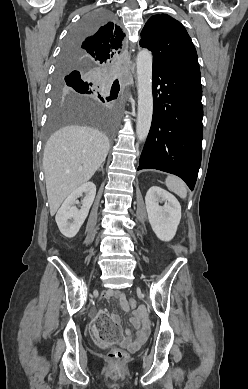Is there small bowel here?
Instances as JSON below:
<instances>
[{
    "instance_id": "1",
    "label": "small bowel",
    "mask_w": 248,
    "mask_h": 389,
    "mask_svg": "<svg viewBox=\"0 0 248 389\" xmlns=\"http://www.w3.org/2000/svg\"><path fill=\"white\" fill-rule=\"evenodd\" d=\"M103 297L105 299L117 298L120 300V303L125 310L129 309L127 307V300L125 298V295L120 290H107L106 292H104ZM111 318L116 322L119 321V317L115 314H111ZM130 321L132 325L137 328V335L134 336L133 332L130 329H126L124 339L119 340V342L128 349L133 350L138 348L146 340L150 328L142 310L135 311Z\"/></svg>"
}]
</instances>
